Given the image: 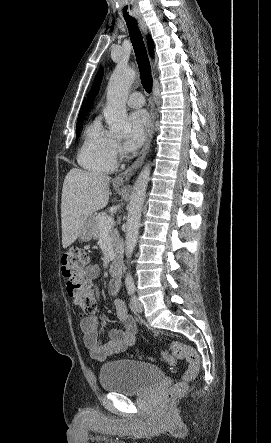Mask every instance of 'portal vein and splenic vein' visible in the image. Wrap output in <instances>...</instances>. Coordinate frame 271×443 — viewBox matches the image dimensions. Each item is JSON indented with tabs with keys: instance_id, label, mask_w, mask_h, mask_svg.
I'll use <instances>...</instances> for the list:
<instances>
[{
	"instance_id": "18ae733b",
	"label": "portal vein and splenic vein",
	"mask_w": 271,
	"mask_h": 443,
	"mask_svg": "<svg viewBox=\"0 0 271 443\" xmlns=\"http://www.w3.org/2000/svg\"><path fill=\"white\" fill-rule=\"evenodd\" d=\"M100 225H103L104 229H106V227H113L114 218H110V216H106V218H100Z\"/></svg>"
}]
</instances>
